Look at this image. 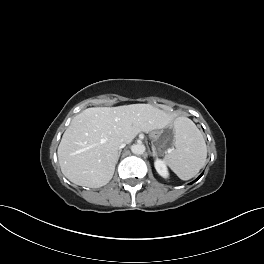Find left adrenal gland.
<instances>
[{"label":"left adrenal gland","instance_id":"obj_1","mask_svg":"<svg viewBox=\"0 0 264 264\" xmlns=\"http://www.w3.org/2000/svg\"><path fill=\"white\" fill-rule=\"evenodd\" d=\"M152 156L153 157L157 156L156 148H155V146L153 144H152Z\"/></svg>","mask_w":264,"mask_h":264}]
</instances>
